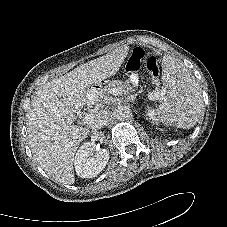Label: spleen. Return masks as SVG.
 Wrapping results in <instances>:
<instances>
[{
  "instance_id": "1",
  "label": "spleen",
  "mask_w": 227,
  "mask_h": 227,
  "mask_svg": "<svg viewBox=\"0 0 227 227\" xmlns=\"http://www.w3.org/2000/svg\"><path fill=\"white\" fill-rule=\"evenodd\" d=\"M162 104L156 109L160 122L187 129L203 115V99L195 78L176 59L166 56L162 61Z\"/></svg>"
}]
</instances>
